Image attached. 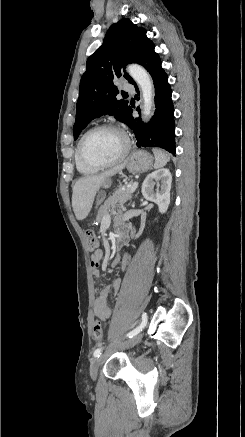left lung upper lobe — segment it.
I'll return each mask as SVG.
<instances>
[{
    "mask_svg": "<svg viewBox=\"0 0 245 437\" xmlns=\"http://www.w3.org/2000/svg\"><path fill=\"white\" fill-rule=\"evenodd\" d=\"M154 47L146 37V29L137 27L129 19H122L109 28L103 44L88 58L87 70L80 81L74 140L88 123L105 114L126 123L130 105L128 101L116 99L119 91L113 80L123 76L132 84L134 81L126 73L125 66L141 64Z\"/></svg>",
    "mask_w": 245,
    "mask_h": 437,
    "instance_id": "left-lung-upper-lobe-1",
    "label": "left lung upper lobe"
}]
</instances>
